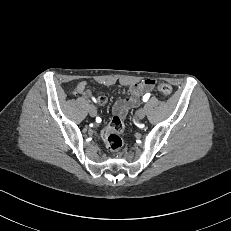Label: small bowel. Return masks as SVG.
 Returning <instances> with one entry per match:
<instances>
[{"mask_svg": "<svg viewBox=\"0 0 231 231\" xmlns=\"http://www.w3.org/2000/svg\"><path fill=\"white\" fill-rule=\"evenodd\" d=\"M153 81L154 80L147 79L140 83L133 84L128 90L119 91V93L125 95L126 98H122L115 103L113 113L116 116L123 117L130 109L137 107L140 102V97L153 87ZM74 92L83 96H89L91 94L86 81H80L76 85ZM95 100L101 105L107 102V98L103 95L97 96Z\"/></svg>", "mask_w": 231, "mask_h": 231, "instance_id": "small-bowel-1", "label": "small bowel"}]
</instances>
